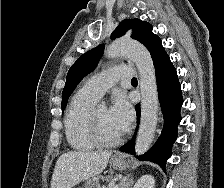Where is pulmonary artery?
<instances>
[{
    "instance_id": "1",
    "label": "pulmonary artery",
    "mask_w": 224,
    "mask_h": 188,
    "mask_svg": "<svg viewBox=\"0 0 224 188\" xmlns=\"http://www.w3.org/2000/svg\"><path fill=\"white\" fill-rule=\"evenodd\" d=\"M134 70L127 66H116L105 69L86 81L82 89L99 99L120 79H131Z\"/></svg>"
}]
</instances>
